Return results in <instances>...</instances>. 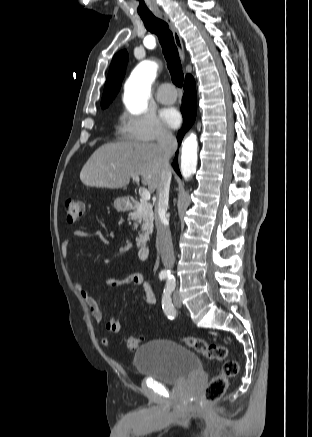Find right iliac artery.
<instances>
[{
	"label": "right iliac artery",
	"instance_id": "obj_1",
	"mask_svg": "<svg viewBox=\"0 0 312 437\" xmlns=\"http://www.w3.org/2000/svg\"><path fill=\"white\" fill-rule=\"evenodd\" d=\"M160 279L162 280V279H165L166 277H167V275L166 274H160Z\"/></svg>",
	"mask_w": 312,
	"mask_h": 437
}]
</instances>
